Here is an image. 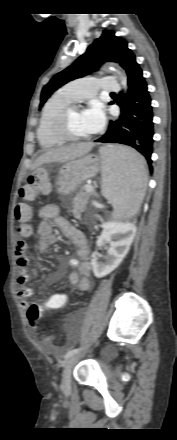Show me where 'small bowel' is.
<instances>
[{
  "mask_svg": "<svg viewBox=\"0 0 177 440\" xmlns=\"http://www.w3.org/2000/svg\"><path fill=\"white\" fill-rule=\"evenodd\" d=\"M38 217L41 221L35 226V232L38 235L37 247L39 251L46 252L51 245L56 243L57 236L54 233V226L60 229L63 235L68 238L76 247L78 259H70L68 264L77 268L78 271L69 274V282L76 287L78 291L86 292L91 286L90 265L87 261L89 255V246L85 235L76 227L72 226L68 221L59 215V207L54 204L45 205L39 208ZM30 235V231L25 233ZM27 245L24 241H18L15 246L16 262L18 266L17 283L19 285L18 297L22 308L30 307L28 299L33 295V290L27 286L30 274L27 271L28 257L26 255ZM56 274L50 276L49 280H55ZM48 298H67L65 293H55Z\"/></svg>",
  "mask_w": 177,
  "mask_h": 440,
  "instance_id": "obj_1",
  "label": "small bowel"
}]
</instances>
